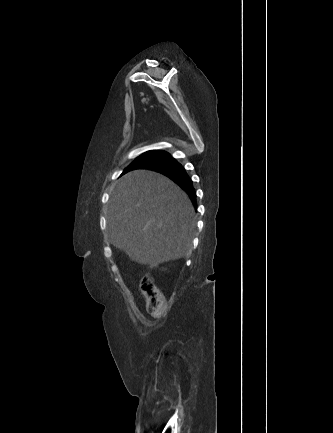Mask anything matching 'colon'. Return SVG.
I'll list each match as a JSON object with an SVG mask.
<instances>
[{
	"label": "colon",
	"mask_w": 333,
	"mask_h": 433,
	"mask_svg": "<svg viewBox=\"0 0 333 433\" xmlns=\"http://www.w3.org/2000/svg\"><path fill=\"white\" fill-rule=\"evenodd\" d=\"M140 291L147 300V310L154 318H161L165 312L166 301L149 276H144L140 279Z\"/></svg>",
	"instance_id": "5ec220e1"
}]
</instances>
